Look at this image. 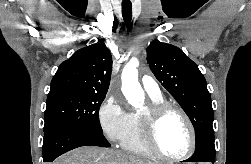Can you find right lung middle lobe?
Masks as SVG:
<instances>
[{
    "label": "right lung middle lobe",
    "instance_id": "obj_1",
    "mask_svg": "<svg viewBox=\"0 0 251 164\" xmlns=\"http://www.w3.org/2000/svg\"><path fill=\"white\" fill-rule=\"evenodd\" d=\"M105 94L56 91L47 98L44 130L54 125L85 127L102 132L99 108Z\"/></svg>",
    "mask_w": 251,
    "mask_h": 164
}]
</instances>
